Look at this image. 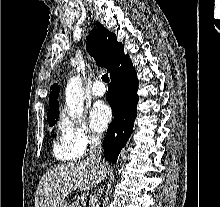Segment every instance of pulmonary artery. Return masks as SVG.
I'll return each mask as SVG.
<instances>
[{"instance_id":"pulmonary-artery-1","label":"pulmonary artery","mask_w":220,"mask_h":207,"mask_svg":"<svg viewBox=\"0 0 220 207\" xmlns=\"http://www.w3.org/2000/svg\"><path fill=\"white\" fill-rule=\"evenodd\" d=\"M106 92V89L104 87V85L99 82V81H96L94 84H93V87H92V94L95 96V97H102Z\"/></svg>"}]
</instances>
